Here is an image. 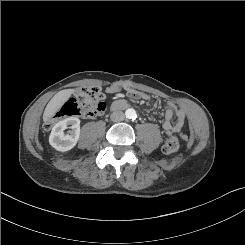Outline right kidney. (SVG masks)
<instances>
[{"mask_svg":"<svg viewBox=\"0 0 245 245\" xmlns=\"http://www.w3.org/2000/svg\"><path fill=\"white\" fill-rule=\"evenodd\" d=\"M70 130L65 134V130ZM80 136V120L69 117L56 123L49 136L50 145L60 152H67L75 147Z\"/></svg>","mask_w":245,"mask_h":245,"instance_id":"ca27d5eb","label":"right kidney"}]
</instances>
